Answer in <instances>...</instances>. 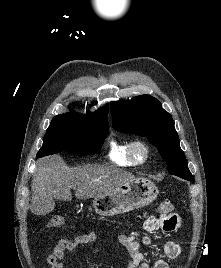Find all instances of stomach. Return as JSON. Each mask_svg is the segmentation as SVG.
<instances>
[{"label": "stomach", "mask_w": 221, "mask_h": 268, "mask_svg": "<svg viewBox=\"0 0 221 268\" xmlns=\"http://www.w3.org/2000/svg\"><path fill=\"white\" fill-rule=\"evenodd\" d=\"M158 193V188L151 181L135 178L113 191L95 197L89 210L93 209L101 216L127 213L152 203Z\"/></svg>", "instance_id": "0dacf381"}]
</instances>
